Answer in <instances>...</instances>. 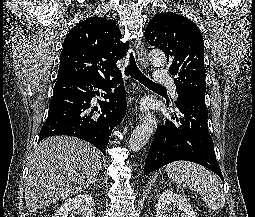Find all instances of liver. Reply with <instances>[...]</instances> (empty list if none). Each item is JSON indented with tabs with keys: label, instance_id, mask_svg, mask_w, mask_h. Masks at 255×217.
Instances as JSON below:
<instances>
[{
	"label": "liver",
	"instance_id": "1",
	"mask_svg": "<svg viewBox=\"0 0 255 217\" xmlns=\"http://www.w3.org/2000/svg\"><path fill=\"white\" fill-rule=\"evenodd\" d=\"M102 168L99 150L88 142L53 136L41 141L30 159L26 207L35 212L86 189Z\"/></svg>",
	"mask_w": 255,
	"mask_h": 217
}]
</instances>
